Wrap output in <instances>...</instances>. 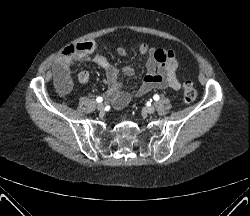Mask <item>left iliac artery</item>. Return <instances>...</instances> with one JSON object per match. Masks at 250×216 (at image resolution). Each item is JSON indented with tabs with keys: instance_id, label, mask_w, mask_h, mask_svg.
I'll return each mask as SVG.
<instances>
[{
	"instance_id": "1",
	"label": "left iliac artery",
	"mask_w": 250,
	"mask_h": 216,
	"mask_svg": "<svg viewBox=\"0 0 250 216\" xmlns=\"http://www.w3.org/2000/svg\"><path fill=\"white\" fill-rule=\"evenodd\" d=\"M153 99H154L155 101H158V100H159V95L155 94V95L153 96Z\"/></svg>"
}]
</instances>
